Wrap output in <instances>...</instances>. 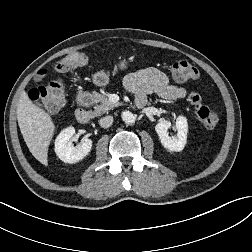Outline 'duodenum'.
I'll return each mask as SVG.
<instances>
[{
    "mask_svg": "<svg viewBox=\"0 0 252 252\" xmlns=\"http://www.w3.org/2000/svg\"><path fill=\"white\" fill-rule=\"evenodd\" d=\"M77 103L80 104L81 107L76 110L75 117L78 122L87 123L91 118V113L84 107L91 103V95L87 92H80L77 96Z\"/></svg>",
    "mask_w": 252,
    "mask_h": 252,
    "instance_id": "410a0bca",
    "label": "duodenum"
}]
</instances>
